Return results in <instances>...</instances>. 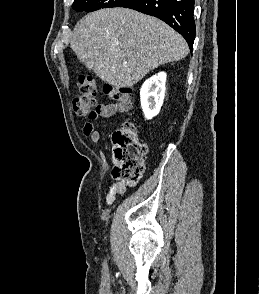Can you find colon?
Listing matches in <instances>:
<instances>
[{
  "label": "colon",
  "mask_w": 259,
  "mask_h": 294,
  "mask_svg": "<svg viewBox=\"0 0 259 294\" xmlns=\"http://www.w3.org/2000/svg\"><path fill=\"white\" fill-rule=\"evenodd\" d=\"M78 89V94L72 100L73 110L79 117L91 118L98 106L95 79L91 75H81ZM104 93L108 98L125 105H129L132 100L130 88L106 85ZM147 151L148 147L139 139L135 126L124 123L113 135V178L129 187L135 186L142 177Z\"/></svg>",
  "instance_id": "obj_1"
}]
</instances>
